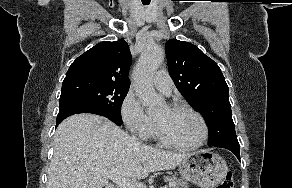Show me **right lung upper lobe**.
<instances>
[{"mask_svg": "<svg viewBox=\"0 0 292 188\" xmlns=\"http://www.w3.org/2000/svg\"><path fill=\"white\" fill-rule=\"evenodd\" d=\"M131 54L128 44L120 39L101 42L75 59L64 80L88 78L130 86L128 71Z\"/></svg>", "mask_w": 292, "mask_h": 188, "instance_id": "1", "label": "right lung upper lobe"}]
</instances>
